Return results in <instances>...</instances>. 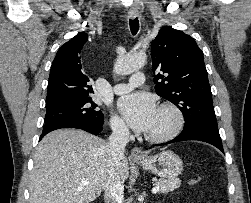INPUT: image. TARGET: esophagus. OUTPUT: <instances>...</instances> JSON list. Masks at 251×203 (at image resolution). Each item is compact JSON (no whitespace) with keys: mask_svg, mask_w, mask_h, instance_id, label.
I'll return each instance as SVG.
<instances>
[{"mask_svg":"<svg viewBox=\"0 0 251 203\" xmlns=\"http://www.w3.org/2000/svg\"><path fill=\"white\" fill-rule=\"evenodd\" d=\"M129 16L132 19H135L139 16V12L136 9H130ZM131 157L135 160H141L145 158V154L139 147H134L131 151Z\"/></svg>","mask_w":251,"mask_h":203,"instance_id":"esophagus-1","label":"esophagus"}]
</instances>
